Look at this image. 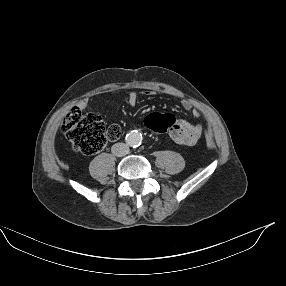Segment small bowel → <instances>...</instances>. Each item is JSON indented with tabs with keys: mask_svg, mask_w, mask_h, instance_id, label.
Here are the masks:
<instances>
[{
	"mask_svg": "<svg viewBox=\"0 0 286 286\" xmlns=\"http://www.w3.org/2000/svg\"><path fill=\"white\" fill-rule=\"evenodd\" d=\"M147 96H152L155 94L153 90L145 91ZM127 103L130 106H135L138 103V94L135 91H131L127 97ZM81 108L86 107V103L80 104ZM186 109L191 108V104L186 101L184 103ZM195 116H200L198 111H195ZM146 119V118H145ZM145 122V121H144ZM146 126V125H145ZM170 138L177 144L182 146H193L196 144L202 135V126L198 123H189L184 120H179L176 127L168 131Z\"/></svg>",
	"mask_w": 286,
	"mask_h": 286,
	"instance_id": "obj_1",
	"label": "small bowel"
}]
</instances>
